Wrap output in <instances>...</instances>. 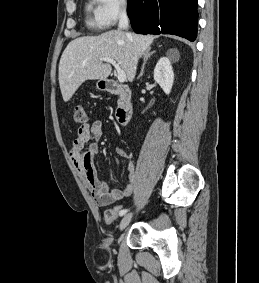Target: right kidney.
<instances>
[{"label":"right kidney","instance_id":"ca27d5eb","mask_svg":"<svg viewBox=\"0 0 259 283\" xmlns=\"http://www.w3.org/2000/svg\"><path fill=\"white\" fill-rule=\"evenodd\" d=\"M154 80L165 94H170L174 82V73L171 62L167 57H162L157 62L154 69Z\"/></svg>","mask_w":259,"mask_h":283}]
</instances>
